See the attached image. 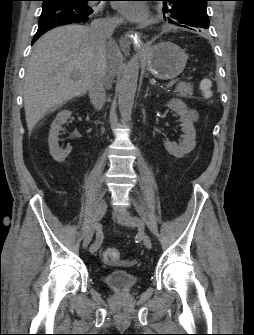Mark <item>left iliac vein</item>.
Instances as JSON below:
<instances>
[{
	"instance_id": "left-iliac-vein-1",
	"label": "left iliac vein",
	"mask_w": 254,
	"mask_h": 335,
	"mask_svg": "<svg viewBox=\"0 0 254 335\" xmlns=\"http://www.w3.org/2000/svg\"><path fill=\"white\" fill-rule=\"evenodd\" d=\"M131 218V215L127 211L115 212V219L121 225L134 227L135 223L131 220ZM140 235L145 247L150 250L152 248L150 237L144 231H141Z\"/></svg>"
}]
</instances>
